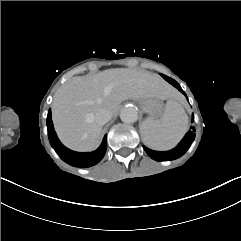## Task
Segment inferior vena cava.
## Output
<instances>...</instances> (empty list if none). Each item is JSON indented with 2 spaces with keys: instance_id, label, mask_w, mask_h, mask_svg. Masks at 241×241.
<instances>
[{
  "instance_id": "inferior-vena-cava-1",
  "label": "inferior vena cava",
  "mask_w": 241,
  "mask_h": 241,
  "mask_svg": "<svg viewBox=\"0 0 241 241\" xmlns=\"http://www.w3.org/2000/svg\"><path fill=\"white\" fill-rule=\"evenodd\" d=\"M112 115L109 111L101 109L97 113H89L86 115L85 120L88 123L96 122L99 125H104L110 121Z\"/></svg>"
}]
</instances>
